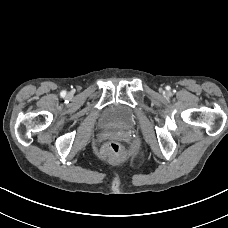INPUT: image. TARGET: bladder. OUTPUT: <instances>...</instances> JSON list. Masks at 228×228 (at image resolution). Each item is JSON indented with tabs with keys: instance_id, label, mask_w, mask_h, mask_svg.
<instances>
[{
	"instance_id": "1",
	"label": "bladder",
	"mask_w": 228,
	"mask_h": 228,
	"mask_svg": "<svg viewBox=\"0 0 228 228\" xmlns=\"http://www.w3.org/2000/svg\"><path fill=\"white\" fill-rule=\"evenodd\" d=\"M102 124L105 126L128 128L135 122L133 109L124 105H111L102 115Z\"/></svg>"
}]
</instances>
